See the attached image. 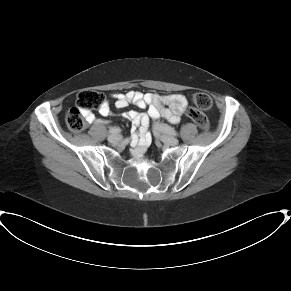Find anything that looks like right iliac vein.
Instances as JSON below:
<instances>
[{
    "label": "right iliac vein",
    "instance_id": "63e3f726",
    "mask_svg": "<svg viewBox=\"0 0 291 291\" xmlns=\"http://www.w3.org/2000/svg\"><path fill=\"white\" fill-rule=\"evenodd\" d=\"M107 139L110 143L117 144L118 142L121 141L122 138H121V136H119L117 134H111L108 136Z\"/></svg>",
    "mask_w": 291,
    "mask_h": 291
}]
</instances>
